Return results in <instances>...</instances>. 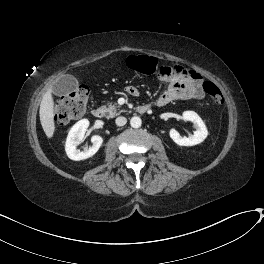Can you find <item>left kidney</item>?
<instances>
[{
    "label": "left kidney",
    "instance_id": "1",
    "mask_svg": "<svg viewBox=\"0 0 264 264\" xmlns=\"http://www.w3.org/2000/svg\"><path fill=\"white\" fill-rule=\"evenodd\" d=\"M183 119L194 123L196 128L194 134L189 137H182L174 128H172L169 131L171 139L180 146H193L203 142L208 135V131L205 123L199 115L194 111H185L183 112Z\"/></svg>",
    "mask_w": 264,
    "mask_h": 264
}]
</instances>
